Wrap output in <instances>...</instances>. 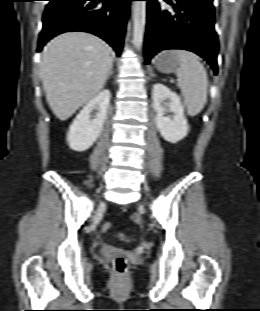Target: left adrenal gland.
I'll return each mask as SVG.
<instances>
[{"label":"left adrenal gland","mask_w":260,"mask_h":311,"mask_svg":"<svg viewBox=\"0 0 260 311\" xmlns=\"http://www.w3.org/2000/svg\"><path fill=\"white\" fill-rule=\"evenodd\" d=\"M150 76L151 77H156V75L153 73V71H151Z\"/></svg>","instance_id":"obj_1"}]
</instances>
